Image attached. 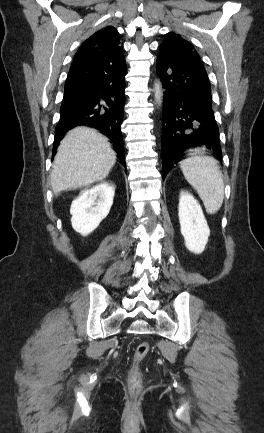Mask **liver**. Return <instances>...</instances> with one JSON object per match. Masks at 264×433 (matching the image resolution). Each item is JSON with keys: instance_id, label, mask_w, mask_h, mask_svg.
I'll list each match as a JSON object with an SVG mask.
<instances>
[{"instance_id": "6515ba94", "label": "liver", "mask_w": 264, "mask_h": 433, "mask_svg": "<svg viewBox=\"0 0 264 433\" xmlns=\"http://www.w3.org/2000/svg\"><path fill=\"white\" fill-rule=\"evenodd\" d=\"M115 162L116 153L106 137L87 127L70 130L54 157L51 173L54 194L102 181Z\"/></svg>"}]
</instances>
